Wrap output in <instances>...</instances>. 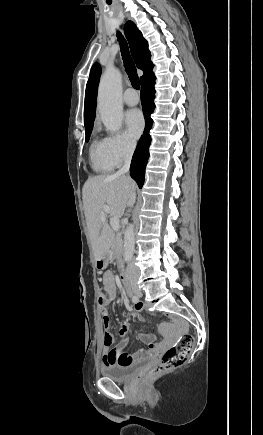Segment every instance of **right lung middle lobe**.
<instances>
[{
  "instance_id": "right-lung-middle-lobe-1",
  "label": "right lung middle lobe",
  "mask_w": 263,
  "mask_h": 435,
  "mask_svg": "<svg viewBox=\"0 0 263 435\" xmlns=\"http://www.w3.org/2000/svg\"><path fill=\"white\" fill-rule=\"evenodd\" d=\"M92 129L85 131L86 133V142L89 140Z\"/></svg>"
}]
</instances>
